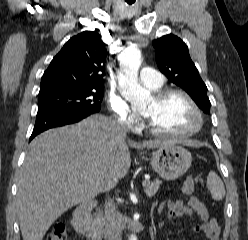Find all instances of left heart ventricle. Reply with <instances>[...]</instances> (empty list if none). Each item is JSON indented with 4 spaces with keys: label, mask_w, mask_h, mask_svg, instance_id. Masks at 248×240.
Wrapping results in <instances>:
<instances>
[{
    "label": "left heart ventricle",
    "mask_w": 248,
    "mask_h": 240,
    "mask_svg": "<svg viewBox=\"0 0 248 240\" xmlns=\"http://www.w3.org/2000/svg\"><path fill=\"white\" fill-rule=\"evenodd\" d=\"M143 115L154 128L163 131L185 132L197 125L192 107L180 95L169 96L162 102L153 97Z\"/></svg>",
    "instance_id": "1"
}]
</instances>
